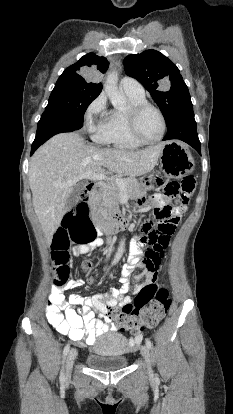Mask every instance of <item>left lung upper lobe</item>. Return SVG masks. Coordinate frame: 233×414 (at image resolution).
<instances>
[{"label": "left lung upper lobe", "instance_id": "left-lung-upper-lobe-1", "mask_svg": "<svg viewBox=\"0 0 233 414\" xmlns=\"http://www.w3.org/2000/svg\"><path fill=\"white\" fill-rule=\"evenodd\" d=\"M126 73L137 79L150 93L169 124L178 111L191 103L179 69L155 50L131 54L124 59Z\"/></svg>", "mask_w": 233, "mask_h": 414}]
</instances>
